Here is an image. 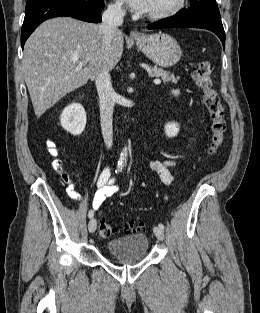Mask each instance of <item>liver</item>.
Listing matches in <instances>:
<instances>
[{
  "mask_svg": "<svg viewBox=\"0 0 260 313\" xmlns=\"http://www.w3.org/2000/svg\"><path fill=\"white\" fill-rule=\"evenodd\" d=\"M123 34L118 30L106 50L100 25L70 17L43 22L24 46L22 71L36 117H41L69 92L94 79L108 55L113 69L122 57ZM77 56L81 68L72 60Z\"/></svg>",
  "mask_w": 260,
  "mask_h": 313,
  "instance_id": "1",
  "label": "liver"
}]
</instances>
